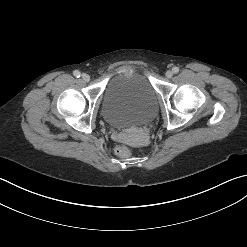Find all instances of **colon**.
<instances>
[{
	"label": "colon",
	"instance_id": "5ec220e1",
	"mask_svg": "<svg viewBox=\"0 0 247 247\" xmlns=\"http://www.w3.org/2000/svg\"><path fill=\"white\" fill-rule=\"evenodd\" d=\"M116 153L122 157L128 156L130 154V148L125 144L119 145L116 147Z\"/></svg>",
	"mask_w": 247,
	"mask_h": 247
}]
</instances>
